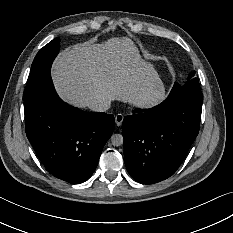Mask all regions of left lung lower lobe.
I'll use <instances>...</instances> for the list:
<instances>
[{
  "label": "left lung lower lobe",
  "instance_id": "0a47b994",
  "mask_svg": "<svg viewBox=\"0 0 233 233\" xmlns=\"http://www.w3.org/2000/svg\"><path fill=\"white\" fill-rule=\"evenodd\" d=\"M202 102L201 92L173 88L158 106L124 118V161L134 180L153 184L176 172L198 135Z\"/></svg>",
  "mask_w": 233,
  "mask_h": 233
}]
</instances>
